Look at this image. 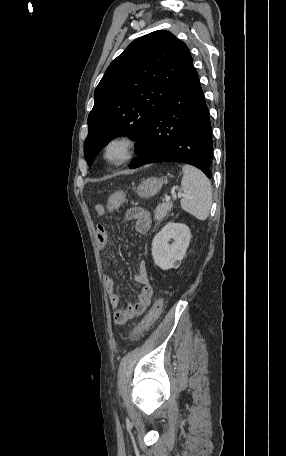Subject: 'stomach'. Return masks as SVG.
Instances as JSON below:
<instances>
[{
  "label": "stomach",
  "mask_w": 286,
  "mask_h": 456,
  "mask_svg": "<svg viewBox=\"0 0 286 456\" xmlns=\"http://www.w3.org/2000/svg\"><path fill=\"white\" fill-rule=\"evenodd\" d=\"M164 180L162 178L151 177L143 180L136 189L140 198H150L155 196L162 188Z\"/></svg>",
  "instance_id": "stomach-1"
}]
</instances>
